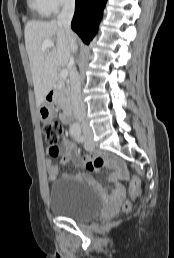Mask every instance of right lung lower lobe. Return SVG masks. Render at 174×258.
Instances as JSON below:
<instances>
[{
    "label": "right lung lower lobe",
    "mask_w": 174,
    "mask_h": 258,
    "mask_svg": "<svg viewBox=\"0 0 174 258\" xmlns=\"http://www.w3.org/2000/svg\"><path fill=\"white\" fill-rule=\"evenodd\" d=\"M107 0H76L72 29L88 44L95 36Z\"/></svg>",
    "instance_id": "98d812e1"
}]
</instances>
